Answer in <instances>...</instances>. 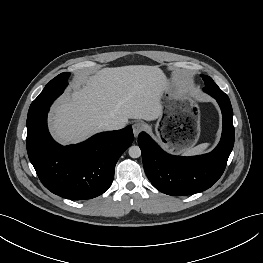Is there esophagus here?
<instances>
[{
	"label": "esophagus",
	"mask_w": 263,
	"mask_h": 263,
	"mask_svg": "<svg viewBox=\"0 0 263 263\" xmlns=\"http://www.w3.org/2000/svg\"><path fill=\"white\" fill-rule=\"evenodd\" d=\"M132 129L134 136L137 137L143 129V124L141 122H135L132 124Z\"/></svg>",
	"instance_id": "34e87169"
}]
</instances>
